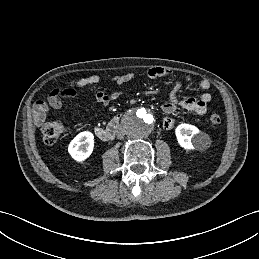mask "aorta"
<instances>
[{
  "mask_svg": "<svg viewBox=\"0 0 259 259\" xmlns=\"http://www.w3.org/2000/svg\"><path fill=\"white\" fill-rule=\"evenodd\" d=\"M154 125V115L146 108L131 111L122 121L125 134L131 139H143L147 137L153 130Z\"/></svg>",
  "mask_w": 259,
  "mask_h": 259,
  "instance_id": "aorta-1",
  "label": "aorta"
}]
</instances>
